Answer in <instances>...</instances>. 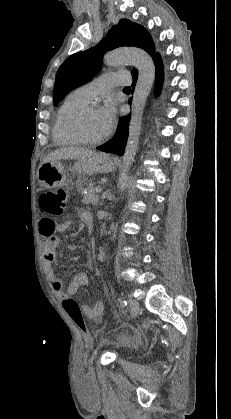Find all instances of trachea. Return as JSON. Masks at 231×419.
Instances as JSON below:
<instances>
[{
    "label": "trachea",
    "mask_w": 231,
    "mask_h": 419,
    "mask_svg": "<svg viewBox=\"0 0 231 419\" xmlns=\"http://www.w3.org/2000/svg\"><path fill=\"white\" fill-rule=\"evenodd\" d=\"M124 90H130L129 86L124 87Z\"/></svg>",
    "instance_id": "trachea-1"
}]
</instances>
